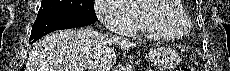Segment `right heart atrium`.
I'll list each match as a JSON object with an SVG mask.
<instances>
[{"mask_svg": "<svg viewBox=\"0 0 230 71\" xmlns=\"http://www.w3.org/2000/svg\"><path fill=\"white\" fill-rule=\"evenodd\" d=\"M127 3V0H96V16L107 28L125 34L135 24V18Z\"/></svg>", "mask_w": 230, "mask_h": 71, "instance_id": "right-heart-atrium-1", "label": "right heart atrium"}]
</instances>
